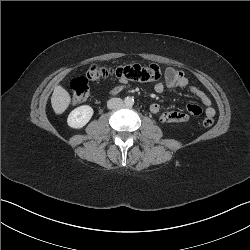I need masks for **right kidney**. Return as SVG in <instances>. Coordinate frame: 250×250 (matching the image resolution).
<instances>
[{
	"label": "right kidney",
	"mask_w": 250,
	"mask_h": 250,
	"mask_svg": "<svg viewBox=\"0 0 250 250\" xmlns=\"http://www.w3.org/2000/svg\"><path fill=\"white\" fill-rule=\"evenodd\" d=\"M93 109L89 105H82L75 108L68 116L67 123L72 128L84 127L93 116Z\"/></svg>",
	"instance_id": "1"
}]
</instances>
